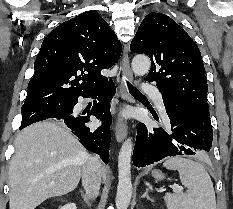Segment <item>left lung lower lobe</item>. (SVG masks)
I'll return each mask as SVG.
<instances>
[{"label":"left lung lower lobe","mask_w":233,"mask_h":209,"mask_svg":"<svg viewBox=\"0 0 233 209\" xmlns=\"http://www.w3.org/2000/svg\"><path fill=\"white\" fill-rule=\"evenodd\" d=\"M162 98L170 120L168 131L138 124L133 151L136 167H145L167 156L193 155V149H211L213 131L209 115L166 95ZM154 119L159 121L158 116Z\"/></svg>","instance_id":"0a47b994"}]
</instances>
